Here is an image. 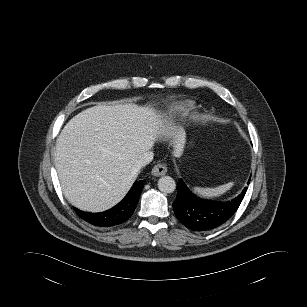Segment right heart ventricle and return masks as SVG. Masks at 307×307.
I'll return each instance as SVG.
<instances>
[{"label": "right heart ventricle", "mask_w": 307, "mask_h": 307, "mask_svg": "<svg viewBox=\"0 0 307 307\" xmlns=\"http://www.w3.org/2000/svg\"><path fill=\"white\" fill-rule=\"evenodd\" d=\"M193 105L189 102L186 103H176L170 108V111L175 114H185L192 109Z\"/></svg>", "instance_id": "e07e8e85"}]
</instances>
